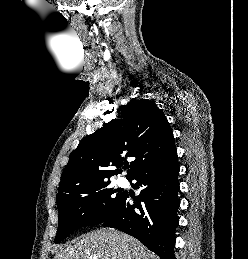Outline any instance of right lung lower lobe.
Returning <instances> with one entry per match:
<instances>
[{"label":"right lung lower lobe","instance_id":"right-lung-lower-lobe-1","mask_svg":"<svg viewBox=\"0 0 248 259\" xmlns=\"http://www.w3.org/2000/svg\"><path fill=\"white\" fill-rule=\"evenodd\" d=\"M179 163L177 152L146 166L130 179L140 194L134 204L126 192L116 213L103 226L119 229L142 242L161 259H175V227L178 225Z\"/></svg>","mask_w":248,"mask_h":259}]
</instances>
